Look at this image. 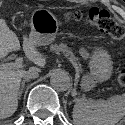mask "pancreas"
<instances>
[{
    "mask_svg": "<svg viewBox=\"0 0 125 125\" xmlns=\"http://www.w3.org/2000/svg\"><path fill=\"white\" fill-rule=\"evenodd\" d=\"M50 50L56 54L63 53L69 60H71L77 67H80L78 58L75 57L72 50L67 46V44L61 43L59 45L54 44L51 46Z\"/></svg>",
    "mask_w": 125,
    "mask_h": 125,
    "instance_id": "pancreas-1",
    "label": "pancreas"
}]
</instances>
